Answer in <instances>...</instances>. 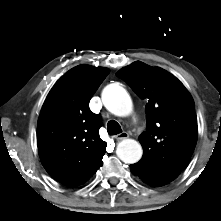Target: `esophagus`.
Here are the masks:
<instances>
[{"mask_svg": "<svg viewBox=\"0 0 221 221\" xmlns=\"http://www.w3.org/2000/svg\"><path fill=\"white\" fill-rule=\"evenodd\" d=\"M129 137V134L127 132H122L118 135L115 136V139L119 140H124L127 139Z\"/></svg>", "mask_w": 221, "mask_h": 221, "instance_id": "obj_1", "label": "esophagus"}]
</instances>
